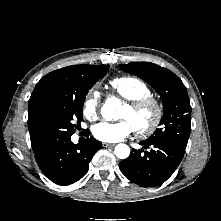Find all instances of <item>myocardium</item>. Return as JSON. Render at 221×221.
<instances>
[{"instance_id": "obj_1", "label": "myocardium", "mask_w": 221, "mask_h": 221, "mask_svg": "<svg viewBox=\"0 0 221 221\" xmlns=\"http://www.w3.org/2000/svg\"><path fill=\"white\" fill-rule=\"evenodd\" d=\"M125 106L133 114H138L148 109L152 111V117L148 124L142 127H134L138 136L142 138L148 137L160 126L164 110L162 103L154 96L149 95L135 101H129V103L125 104Z\"/></svg>"}]
</instances>
